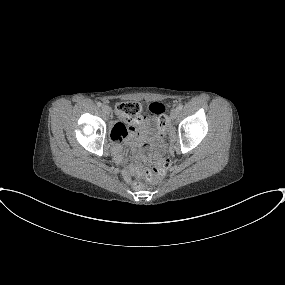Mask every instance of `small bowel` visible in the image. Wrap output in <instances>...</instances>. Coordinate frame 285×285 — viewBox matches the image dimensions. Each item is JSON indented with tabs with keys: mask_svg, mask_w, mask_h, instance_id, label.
Returning a JSON list of instances; mask_svg holds the SVG:
<instances>
[{
	"mask_svg": "<svg viewBox=\"0 0 285 285\" xmlns=\"http://www.w3.org/2000/svg\"><path fill=\"white\" fill-rule=\"evenodd\" d=\"M152 121L142 116L139 121L135 122L130 130L126 129L125 123H116L111 132V153L117 163H122V151L124 144H128L137 152L139 148L149 141L152 128ZM123 177L127 182L132 181V174L123 170Z\"/></svg>",
	"mask_w": 285,
	"mask_h": 285,
	"instance_id": "1",
	"label": "small bowel"
}]
</instances>
